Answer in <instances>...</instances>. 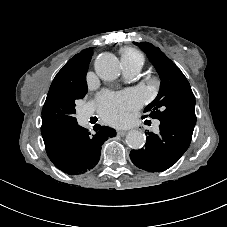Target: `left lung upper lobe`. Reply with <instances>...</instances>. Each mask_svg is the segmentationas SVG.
Segmentation results:
<instances>
[{"label":"left lung upper lobe","mask_w":227,"mask_h":227,"mask_svg":"<svg viewBox=\"0 0 227 227\" xmlns=\"http://www.w3.org/2000/svg\"><path fill=\"white\" fill-rule=\"evenodd\" d=\"M133 43L147 53L161 79L157 97L144 112L153 119H177L195 125V96L182 71L151 43Z\"/></svg>","instance_id":"1"}]
</instances>
